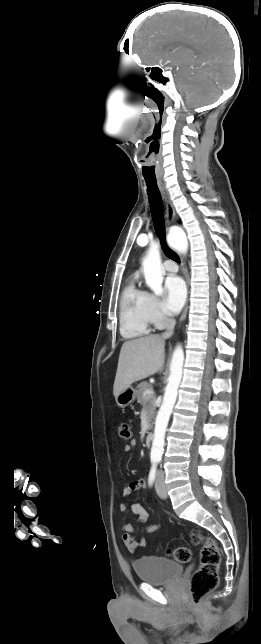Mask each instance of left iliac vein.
Masks as SVG:
<instances>
[{"instance_id": "4c4485c4", "label": "left iliac vein", "mask_w": 261, "mask_h": 644, "mask_svg": "<svg viewBox=\"0 0 261 644\" xmlns=\"http://www.w3.org/2000/svg\"><path fill=\"white\" fill-rule=\"evenodd\" d=\"M155 489L159 497L165 499L167 497V490L164 484V477L161 473V471L158 472L156 482H155Z\"/></svg>"}]
</instances>
